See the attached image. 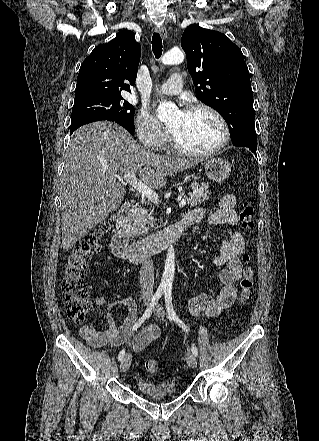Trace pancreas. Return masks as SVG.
Returning <instances> with one entry per match:
<instances>
[{"label":"pancreas","instance_id":"1","mask_svg":"<svg viewBox=\"0 0 319 441\" xmlns=\"http://www.w3.org/2000/svg\"><path fill=\"white\" fill-rule=\"evenodd\" d=\"M190 187L195 190V192H189L186 198V202L188 205L194 207L202 204L205 200L208 199V183H191ZM147 211L144 208H137L132 213V224L129 230L131 236L140 235L142 233L147 234L149 232V227L147 224H150L151 227H154L152 222V218L147 216Z\"/></svg>","mask_w":319,"mask_h":441}]
</instances>
